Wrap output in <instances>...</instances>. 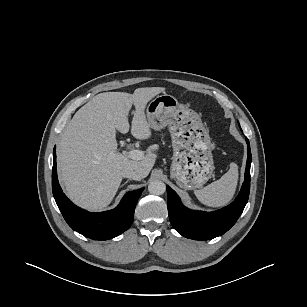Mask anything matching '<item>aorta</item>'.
I'll use <instances>...</instances> for the list:
<instances>
[{
	"instance_id": "aorta-1",
	"label": "aorta",
	"mask_w": 307,
	"mask_h": 307,
	"mask_svg": "<svg viewBox=\"0 0 307 307\" xmlns=\"http://www.w3.org/2000/svg\"><path fill=\"white\" fill-rule=\"evenodd\" d=\"M148 191L153 195H162L166 191V185L160 180H153L148 185Z\"/></svg>"
}]
</instances>
